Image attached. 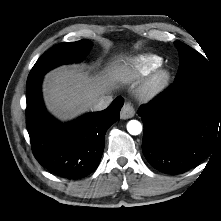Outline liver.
Instances as JSON below:
<instances>
[{
  "mask_svg": "<svg viewBox=\"0 0 221 221\" xmlns=\"http://www.w3.org/2000/svg\"><path fill=\"white\" fill-rule=\"evenodd\" d=\"M127 70L126 63L114 64L96 76H89L76 65L52 70L43 83L46 107L63 121L93 110V104L99 97L109 94L119 81H124Z\"/></svg>",
  "mask_w": 221,
  "mask_h": 221,
  "instance_id": "6515ba94",
  "label": "liver"
}]
</instances>
